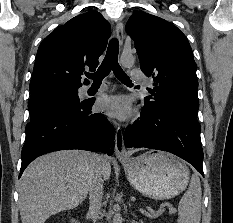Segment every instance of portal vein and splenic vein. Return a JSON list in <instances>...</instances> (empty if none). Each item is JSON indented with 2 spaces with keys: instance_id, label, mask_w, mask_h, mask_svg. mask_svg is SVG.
Returning a JSON list of instances; mask_svg holds the SVG:
<instances>
[{
  "instance_id": "obj_1",
  "label": "portal vein and splenic vein",
  "mask_w": 233,
  "mask_h": 223,
  "mask_svg": "<svg viewBox=\"0 0 233 223\" xmlns=\"http://www.w3.org/2000/svg\"><path fill=\"white\" fill-rule=\"evenodd\" d=\"M141 213L143 215H147V217H158V215H161L162 211H156V213H149V211H146V209H140Z\"/></svg>"
}]
</instances>
